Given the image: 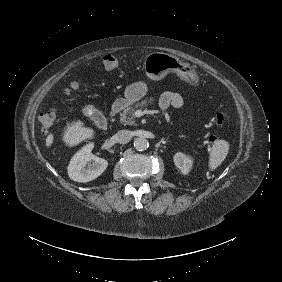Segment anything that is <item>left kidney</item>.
Listing matches in <instances>:
<instances>
[{
    "mask_svg": "<svg viewBox=\"0 0 282 282\" xmlns=\"http://www.w3.org/2000/svg\"><path fill=\"white\" fill-rule=\"evenodd\" d=\"M173 160H174L175 166L180 169L182 174H185V175L189 174V172L192 169V165H193V158L191 156L186 155L182 152H177L173 156Z\"/></svg>",
    "mask_w": 282,
    "mask_h": 282,
    "instance_id": "5707ae66",
    "label": "left kidney"
}]
</instances>
